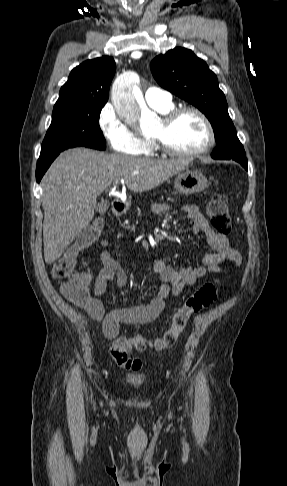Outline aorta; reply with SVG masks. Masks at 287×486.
<instances>
[{
	"label": "aorta",
	"instance_id": "obj_1",
	"mask_svg": "<svg viewBox=\"0 0 287 486\" xmlns=\"http://www.w3.org/2000/svg\"><path fill=\"white\" fill-rule=\"evenodd\" d=\"M111 100L117 114L127 123H139L142 129L151 128L155 124V114L142 100L139 87L131 83L127 76H121L114 82Z\"/></svg>",
	"mask_w": 287,
	"mask_h": 486
}]
</instances>
